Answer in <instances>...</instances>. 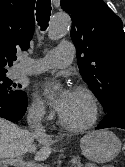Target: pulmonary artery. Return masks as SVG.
<instances>
[{"mask_svg":"<svg viewBox=\"0 0 125 167\" xmlns=\"http://www.w3.org/2000/svg\"><path fill=\"white\" fill-rule=\"evenodd\" d=\"M74 57V49L71 43L62 42L56 49L49 51L38 59H26L25 63L18 66L17 75L39 74L51 69L65 68L69 66Z\"/></svg>","mask_w":125,"mask_h":167,"instance_id":"pulmonary-artery-1","label":"pulmonary artery"}]
</instances>
